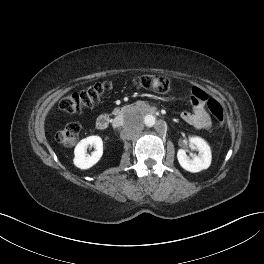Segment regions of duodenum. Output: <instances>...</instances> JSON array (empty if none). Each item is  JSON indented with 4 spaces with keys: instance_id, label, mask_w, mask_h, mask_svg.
<instances>
[{
    "instance_id": "obj_1",
    "label": "duodenum",
    "mask_w": 264,
    "mask_h": 264,
    "mask_svg": "<svg viewBox=\"0 0 264 264\" xmlns=\"http://www.w3.org/2000/svg\"><path fill=\"white\" fill-rule=\"evenodd\" d=\"M132 107H133V105H125V106H122L120 108L115 109L111 113L102 114L96 120V128L98 130L106 129L110 125V123L112 122L113 117H121L126 111L130 110ZM143 110L149 114H155L156 113V109L154 107H150V106L143 107Z\"/></svg>"
}]
</instances>
